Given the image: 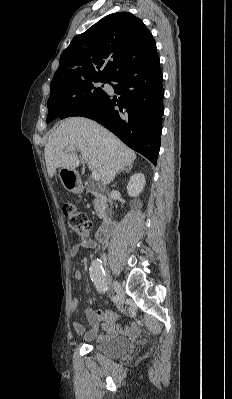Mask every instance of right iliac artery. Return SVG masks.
Instances as JSON below:
<instances>
[{"label":"right iliac artery","instance_id":"right-iliac-artery-1","mask_svg":"<svg viewBox=\"0 0 232 399\" xmlns=\"http://www.w3.org/2000/svg\"><path fill=\"white\" fill-rule=\"evenodd\" d=\"M90 278L99 293H105L108 289L107 282L104 276L102 260L94 259L90 265ZM119 295H113V300H118Z\"/></svg>","mask_w":232,"mask_h":399}]
</instances>
